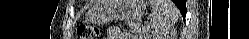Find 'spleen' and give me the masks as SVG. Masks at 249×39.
<instances>
[{"label": "spleen", "mask_w": 249, "mask_h": 39, "mask_svg": "<svg viewBox=\"0 0 249 39\" xmlns=\"http://www.w3.org/2000/svg\"><path fill=\"white\" fill-rule=\"evenodd\" d=\"M154 10L151 25L156 35L167 32L179 19V10L171 0H151Z\"/></svg>", "instance_id": "1"}]
</instances>
